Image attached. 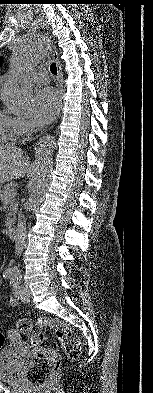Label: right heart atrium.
<instances>
[{
	"label": "right heart atrium",
	"mask_w": 153,
	"mask_h": 393,
	"mask_svg": "<svg viewBox=\"0 0 153 393\" xmlns=\"http://www.w3.org/2000/svg\"><path fill=\"white\" fill-rule=\"evenodd\" d=\"M18 120V136H29L34 133L35 124L28 118L19 117Z\"/></svg>",
	"instance_id": "1"
}]
</instances>
